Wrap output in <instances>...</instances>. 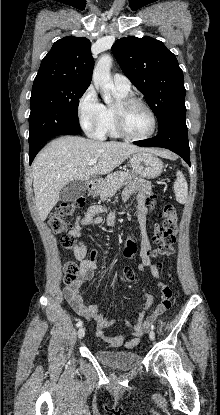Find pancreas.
I'll return each instance as SVG.
<instances>
[{
    "mask_svg": "<svg viewBox=\"0 0 220 415\" xmlns=\"http://www.w3.org/2000/svg\"><path fill=\"white\" fill-rule=\"evenodd\" d=\"M131 178V174L126 171H116L109 174L104 180L100 182V198L105 200L114 196L127 181Z\"/></svg>",
    "mask_w": 220,
    "mask_h": 415,
    "instance_id": "cf45deb5",
    "label": "pancreas"
}]
</instances>
